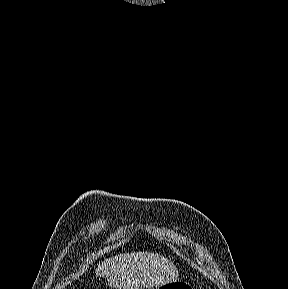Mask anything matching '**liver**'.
Segmentation results:
<instances>
[{
  "label": "liver",
  "instance_id": "6515ba94",
  "mask_svg": "<svg viewBox=\"0 0 288 289\" xmlns=\"http://www.w3.org/2000/svg\"><path fill=\"white\" fill-rule=\"evenodd\" d=\"M115 289H145L178 280V270L167 258L149 252L120 254L105 259L95 270Z\"/></svg>",
  "mask_w": 288,
  "mask_h": 289
}]
</instances>
